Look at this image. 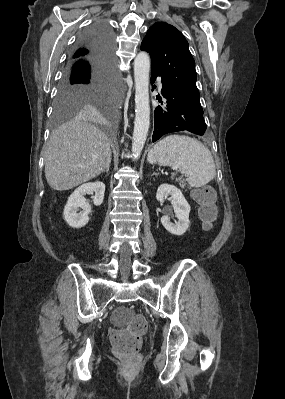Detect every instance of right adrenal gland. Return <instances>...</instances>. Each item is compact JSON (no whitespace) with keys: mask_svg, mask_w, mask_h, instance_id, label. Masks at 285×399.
Here are the masks:
<instances>
[{"mask_svg":"<svg viewBox=\"0 0 285 399\" xmlns=\"http://www.w3.org/2000/svg\"><path fill=\"white\" fill-rule=\"evenodd\" d=\"M104 172H106V173L108 174V172H109V167H107V168L104 170Z\"/></svg>","mask_w":285,"mask_h":399,"instance_id":"1","label":"right adrenal gland"}]
</instances>
